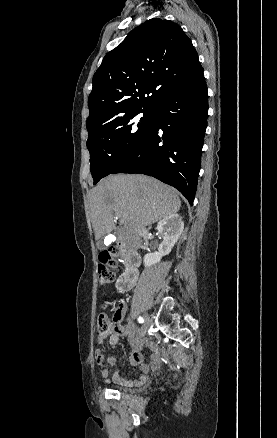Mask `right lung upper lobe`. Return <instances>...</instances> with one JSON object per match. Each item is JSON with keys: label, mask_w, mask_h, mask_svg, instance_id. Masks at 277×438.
Wrapping results in <instances>:
<instances>
[{"label": "right lung upper lobe", "mask_w": 277, "mask_h": 438, "mask_svg": "<svg viewBox=\"0 0 277 438\" xmlns=\"http://www.w3.org/2000/svg\"><path fill=\"white\" fill-rule=\"evenodd\" d=\"M171 64L178 66L174 72L167 68ZM202 72L190 38L177 23L147 20L107 53L94 74L87 128L152 109L164 93Z\"/></svg>", "instance_id": "1"}]
</instances>
